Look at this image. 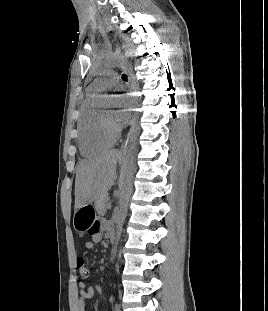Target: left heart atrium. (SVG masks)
Here are the masks:
<instances>
[{
	"mask_svg": "<svg viewBox=\"0 0 268 311\" xmlns=\"http://www.w3.org/2000/svg\"><path fill=\"white\" fill-rule=\"evenodd\" d=\"M115 97L116 98H122V97H125V95L117 94V95H115ZM123 104H126V103L125 102H118V105H123ZM125 111H127V109L117 110V112H116V119H117V121L123 122V121L127 120L128 116L125 113Z\"/></svg>",
	"mask_w": 268,
	"mask_h": 311,
	"instance_id": "obj_1",
	"label": "left heart atrium"
}]
</instances>
